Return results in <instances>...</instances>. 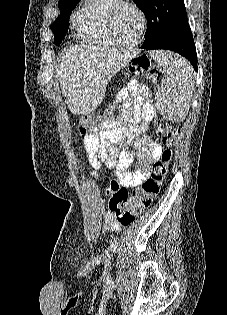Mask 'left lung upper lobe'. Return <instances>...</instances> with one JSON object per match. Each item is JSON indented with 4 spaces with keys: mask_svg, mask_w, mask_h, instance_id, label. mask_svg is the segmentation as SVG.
<instances>
[{
    "mask_svg": "<svg viewBox=\"0 0 227 315\" xmlns=\"http://www.w3.org/2000/svg\"><path fill=\"white\" fill-rule=\"evenodd\" d=\"M147 17L144 43L151 42L170 29L188 22L184 0H133Z\"/></svg>",
    "mask_w": 227,
    "mask_h": 315,
    "instance_id": "1",
    "label": "left lung upper lobe"
}]
</instances>
